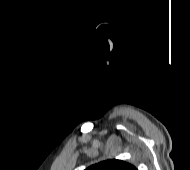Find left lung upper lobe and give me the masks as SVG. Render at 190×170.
Instances as JSON below:
<instances>
[{
    "instance_id": "5c2ea615",
    "label": "left lung upper lobe",
    "mask_w": 190,
    "mask_h": 170,
    "mask_svg": "<svg viewBox=\"0 0 190 170\" xmlns=\"http://www.w3.org/2000/svg\"><path fill=\"white\" fill-rule=\"evenodd\" d=\"M85 170H137V168L122 160L109 159L94 164Z\"/></svg>"
}]
</instances>
